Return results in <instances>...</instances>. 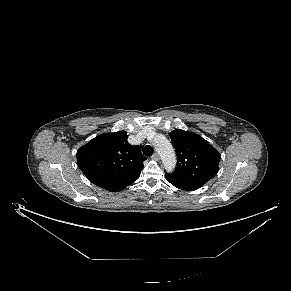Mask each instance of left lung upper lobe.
<instances>
[{"label": "left lung upper lobe", "instance_id": "5c2ea615", "mask_svg": "<svg viewBox=\"0 0 291 291\" xmlns=\"http://www.w3.org/2000/svg\"><path fill=\"white\" fill-rule=\"evenodd\" d=\"M177 153V167L166 179L179 185L203 186L219 170L220 153L201 136L184 130L169 133Z\"/></svg>", "mask_w": 291, "mask_h": 291}]
</instances>
